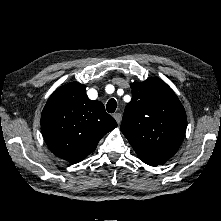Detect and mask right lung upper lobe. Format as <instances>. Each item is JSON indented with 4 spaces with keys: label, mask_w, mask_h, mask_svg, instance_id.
<instances>
[{
    "label": "right lung upper lobe",
    "mask_w": 221,
    "mask_h": 221,
    "mask_svg": "<svg viewBox=\"0 0 221 221\" xmlns=\"http://www.w3.org/2000/svg\"><path fill=\"white\" fill-rule=\"evenodd\" d=\"M117 127L99 101H92L86 86L72 82L48 99L41 116L43 137L56 156L78 163L92 153L100 139Z\"/></svg>",
    "instance_id": "cb5924a9"
}]
</instances>
